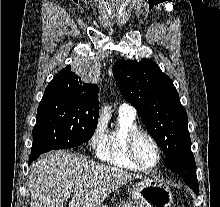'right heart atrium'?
Masks as SVG:
<instances>
[{
  "mask_svg": "<svg viewBox=\"0 0 220 207\" xmlns=\"http://www.w3.org/2000/svg\"><path fill=\"white\" fill-rule=\"evenodd\" d=\"M106 132V122L103 116H99L95 122L91 137H90V146L93 149H97L99 144L101 143Z\"/></svg>",
  "mask_w": 220,
  "mask_h": 207,
  "instance_id": "obj_1",
  "label": "right heart atrium"
}]
</instances>
